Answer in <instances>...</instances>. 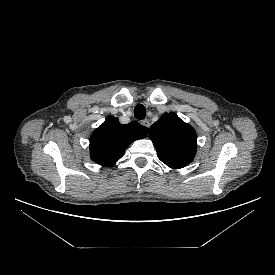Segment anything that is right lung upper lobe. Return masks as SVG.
<instances>
[{
	"label": "right lung upper lobe",
	"mask_w": 275,
	"mask_h": 275,
	"mask_svg": "<svg viewBox=\"0 0 275 275\" xmlns=\"http://www.w3.org/2000/svg\"><path fill=\"white\" fill-rule=\"evenodd\" d=\"M149 129L138 122L127 125L109 116L90 137L91 159L105 167L114 165L125 153L130 143L147 136Z\"/></svg>",
	"instance_id": "1"
}]
</instances>
